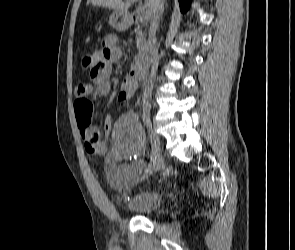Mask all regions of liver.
<instances>
[{"label": "liver", "instance_id": "6515ba94", "mask_svg": "<svg viewBox=\"0 0 295 250\" xmlns=\"http://www.w3.org/2000/svg\"><path fill=\"white\" fill-rule=\"evenodd\" d=\"M91 2L93 5L103 6L120 12L127 11L131 6L129 0H127L126 3L123 2V0H91ZM147 6L150 8L151 11H153L154 0H147Z\"/></svg>", "mask_w": 295, "mask_h": 250}]
</instances>
